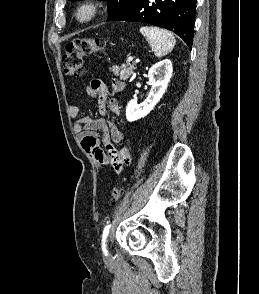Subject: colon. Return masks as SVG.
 <instances>
[{
	"mask_svg": "<svg viewBox=\"0 0 259 294\" xmlns=\"http://www.w3.org/2000/svg\"><path fill=\"white\" fill-rule=\"evenodd\" d=\"M104 47V41L100 38H79L65 45L62 56L64 71L74 77H80L84 73L83 57L95 55ZM124 193L123 185H116L112 189V201L117 202Z\"/></svg>",
	"mask_w": 259,
	"mask_h": 294,
	"instance_id": "colon-1",
	"label": "colon"
}]
</instances>
